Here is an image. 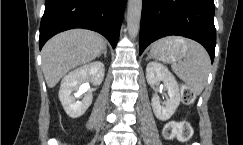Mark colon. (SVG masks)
Listing matches in <instances>:
<instances>
[{
	"label": "colon",
	"mask_w": 243,
	"mask_h": 145,
	"mask_svg": "<svg viewBox=\"0 0 243 145\" xmlns=\"http://www.w3.org/2000/svg\"><path fill=\"white\" fill-rule=\"evenodd\" d=\"M181 100L185 105H191L195 100V94L187 86L182 87ZM166 139L177 138L182 141H186L192 136V128L186 122H171L164 127L163 131Z\"/></svg>",
	"instance_id": "5ec220e1"
}]
</instances>
